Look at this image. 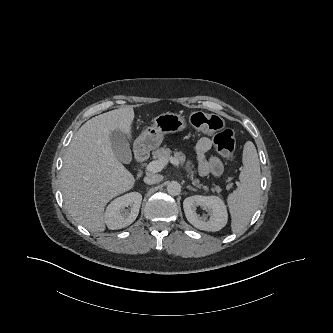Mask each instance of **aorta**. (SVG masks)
I'll use <instances>...</instances> for the list:
<instances>
[{"instance_id": "aorta-1", "label": "aorta", "mask_w": 333, "mask_h": 333, "mask_svg": "<svg viewBox=\"0 0 333 333\" xmlns=\"http://www.w3.org/2000/svg\"><path fill=\"white\" fill-rule=\"evenodd\" d=\"M167 191L172 196H177L181 192V185L177 181H172L167 185Z\"/></svg>"}]
</instances>
